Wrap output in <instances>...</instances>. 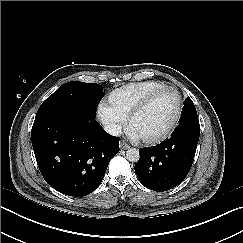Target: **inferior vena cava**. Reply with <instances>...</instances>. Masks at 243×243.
<instances>
[{
	"label": "inferior vena cava",
	"mask_w": 243,
	"mask_h": 243,
	"mask_svg": "<svg viewBox=\"0 0 243 243\" xmlns=\"http://www.w3.org/2000/svg\"><path fill=\"white\" fill-rule=\"evenodd\" d=\"M104 130L112 136H119L121 133V127L117 124H107L104 126Z\"/></svg>",
	"instance_id": "obj_1"
}]
</instances>
